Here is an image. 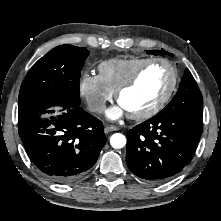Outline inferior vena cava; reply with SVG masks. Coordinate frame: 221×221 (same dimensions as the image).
I'll return each mask as SVG.
<instances>
[{
	"label": "inferior vena cava",
	"mask_w": 221,
	"mask_h": 221,
	"mask_svg": "<svg viewBox=\"0 0 221 221\" xmlns=\"http://www.w3.org/2000/svg\"><path fill=\"white\" fill-rule=\"evenodd\" d=\"M91 112L102 113L105 109V104L102 101L94 102L88 106Z\"/></svg>",
	"instance_id": "inferior-vena-cava-1"
}]
</instances>
